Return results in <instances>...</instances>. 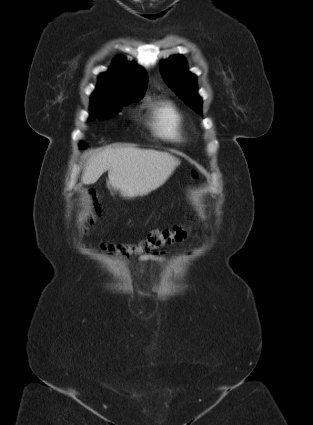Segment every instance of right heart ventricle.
Instances as JSON below:
<instances>
[{
	"mask_svg": "<svg viewBox=\"0 0 313 425\" xmlns=\"http://www.w3.org/2000/svg\"><path fill=\"white\" fill-rule=\"evenodd\" d=\"M152 127L156 135L172 141H181L185 135L183 119L170 103L159 102L151 106Z\"/></svg>",
	"mask_w": 313,
	"mask_h": 425,
	"instance_id": "1",
	"label": "right heart ventricle"
}]
</instances>
